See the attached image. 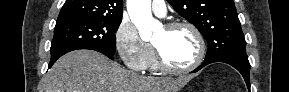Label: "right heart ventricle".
<instances>
[{"label": "right heart ventricle", "instance_id": "right-heart-ventricle-1", "mask_svg": "<svg viewBox=\"0 0 289 92\" xmlns=\"http://www.w3.org/2000/svg\"><path fill=\"white\" fill-rule=\"evenodd\" d=\"M149 67H151L152 69H157L158 68V64H157V61L156 59L153 57Z\"/></svg>", "mask_w": 289, "mask_h": 92}]
</instances>
